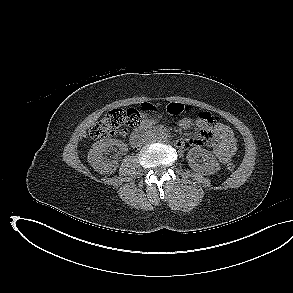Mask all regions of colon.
I'll list each match as a JSON object with an SVG mask.
<instances>
[{
    "label": "colon",
    "mask_w": 293,
    "mask_h": 293,
    "mask_svg": "<svg viewBox=\"0 0 293 293\" xmlns=\"http://www.w3.org/2000/svg\"><path fill=\"white\" fill-rule=\"evenodd\" d=\"M188 107L180 103H170L167 112L171 115H181L186 112ZM201 117L208 121H218V119L207 112L200 113ZM141 122V114L134 108L113 109L102 116L89 129V136L94 139L107 138L111 136H126L130 129L138 126ZM228 171H233L235 165L228 163Z\"/></svg>",
    "instance_id": "colon-1"
}]
</instances>
